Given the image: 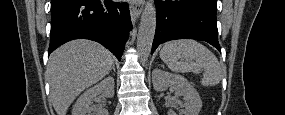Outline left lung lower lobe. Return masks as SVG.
Returning a JSON list of instances; mask_svg holds the SVG:
<instances>
[{
  "label": "left lung lower lobe",
  "instance_id": "obj_1",
  "mask_svg": "<svg viewBox=\"0 0 285 115\" xmlns=\"http://www.w3.org/2000/svg\"><path fill=\"white\" fill-rule=\"evenodd\" d=\"M157 25L151 53L163 42L197 39L220 52L216 0H155Z\"/></svg>",
  "mask_w": 285,
  "mask_h": 115
}]
</instances>
